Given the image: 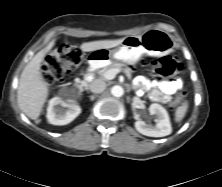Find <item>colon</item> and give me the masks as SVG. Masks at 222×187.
I'll return each instance as SVG.
<instances>
[{
    "label": "colon",
    "instance_id": "5ec220e1",
    "mask_svg": "<svg viewBox=\"0 0 222 187\" xmlns=\"http://www.w3.org/2000/svg\"><path fill=\"white\" fill-rule=\"evenodd\" d=\"M83 62L82 52L70 45L62 44L57 49L52 51L45 58L42 67V77L48 84L62 80L66 74L77 71ZM181 69L178 62L162 57L159 60L153 61L151 65V74L156 77H172L175 76ZM186 97V93L181 91L176 94L172 100L173 107L180 106Z\"/></svg>",
    "mask_w": 222,
    "mask_h": 187
}]
</instances>
